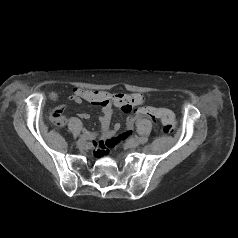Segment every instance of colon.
Returning <instances> with one entry per match:
<instances>
[{"instance_id": "colon-1", "label": "colon", "mask_w": 238, "mask_h": 238, "mask_svg": "<svg viewBox=\"0 0 238 238\" xmlns=\"http://www.w3.org/2000/svg\"><path fill=\"white\" fill-rule=\"evenodd\" d=\"M137 116H145L152 119H161L162 121V131L166 134L172 133L175 128L174 116L168 110L163 109L162 107H141L135 111ZM55 120L59 117V111L54 113ZM123 136L111 137L105 141H101L96 147L97 156L105 155L109 149L115 147L121 140Z\"/></svg>"}]
</instances>
